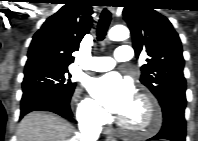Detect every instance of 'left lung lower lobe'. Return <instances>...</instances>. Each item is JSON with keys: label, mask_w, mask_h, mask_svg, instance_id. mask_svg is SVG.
Returning <instances> with one entry per match:
<instances>
[{"label": "left lung lower lobe", "mask_w": 198, "mask_h": 141, "mask_svg": "<svg viewBox=\"0 0 198 141\" xmlns=\"http://www.w3.org/2000/svg\"><path fill=\"white\" fill-rule=\"evenodd\" d=\"M162 107L163 125L160 132L150 140L166 139L169 141H185L186 122L184 110L186 99L175 98L165 102Z\"/></svg>", "instance_id": "obj_1"}]
</instances>
